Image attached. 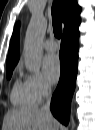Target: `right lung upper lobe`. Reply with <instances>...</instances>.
Listing matches in <instances>:
<instances>
[{
	"label": "right lung upper lobe",
	"mask_w": 95,
	"mask_h": 130,
	"mask_svg": "<svg viewBox=\"0 0 95 130\" xmlns=\"http://www.w3.org/2000/svg\"><path fill=\"white\" fill-rule=\"evenodd\" d=\"M61 13L62 21L65 24L64 35L77 31L80 24V7L76 0H57L56 1ZM19 25L17 24L12 35L10 48L7 58L6 70L13 69L19 60ZM17 34V37H16Z\"/></svg>",
	"instance_id": "cb5924a9"
}]
</instances>
